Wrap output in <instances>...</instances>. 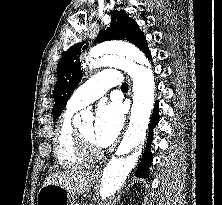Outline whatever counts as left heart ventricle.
<instances>
[{
	"instance_id": "1",
	"label": "left heart ventricle",
	"mask_w": 222,
	"mask_h": 205,
	"mask_svg": "<svg viewBox=\"0 0 222 205\" xmlns=\"http://www.w3.org/2000/svg\"><path fill=\"white\" fill-rule=\"evenodd\" d=\"M93 129H94V123L92 121L84 123L79 130L81 131L82 135L94 146H97V144L94 141L93 137Z\"/></svg>"
}]
</instances>
